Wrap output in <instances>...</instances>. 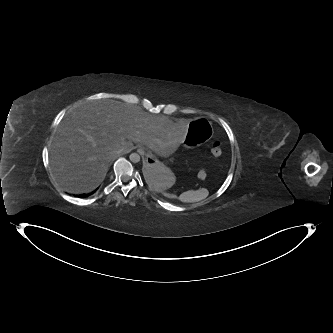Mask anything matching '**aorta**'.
I'll list each match as a JSON object with an SVG mask.
<instances>
[{
    "instance_id": "762f6f07",
    "label": "aorta",
    "mask_w": 333,
    "mask_h": 333,
    "mask_svg": "<svg viewBox=\"0 0 333 333\" xmlns=\"http://www.w3.org/2000/svg\"><path fill=\"white\" fill-rule=\"evenodd\" d=\"M129 159L133 163H138V162H140V155L138 153H131L129 155Z\"/></svg>"
}]
</instances>
